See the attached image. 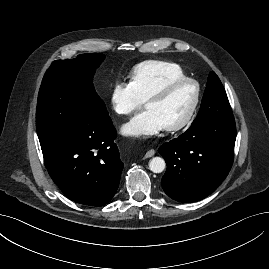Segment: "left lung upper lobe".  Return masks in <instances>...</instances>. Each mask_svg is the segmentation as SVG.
Returning <instances> with one entry per match:
<instances>
[{
    "label": "left lung upper lobe",
    "mask_w": 269,
    "mask_h": 269,
    "mask_svg": "<svg viewBox=\"0 0 269 269\" xmlns=\"http://www.w3.org/2000/svg\"><path fill=\"white\" fill-rule=\"evenodd\" d=\"M232 115L226 91L215 72L208 78L200 110L193 123Z\"/></svg>",
    "instance_id": "obj_1"
}]
</instances>
